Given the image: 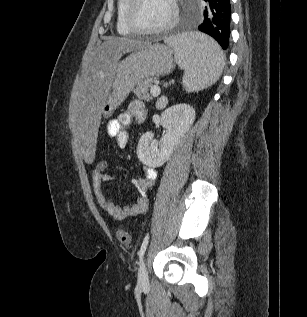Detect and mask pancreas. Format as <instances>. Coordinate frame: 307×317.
I'll use <instances>...</instances> for the list:
<instances>
[{
	"label": "pancreas",
	"mask_w": 307,
	"mask_h": 317,
	"mask_svg": "<svg viewBox=\"0 0 307 317\" xmlns=\"http://www.w3.org/2000/svg\"><path fill=\"white\" fill-rule=\"evenodd\" d=\"M152 87L151 80L145 79L137 84L135 89L133 90L136 97L143 99L145 101H149L152 99V94L149 93V89Z\"/></svg>",
	"instance_id": "obj_1"
}]
</instances>
